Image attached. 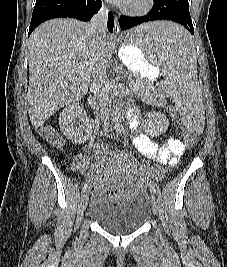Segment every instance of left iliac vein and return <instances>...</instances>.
Returning <instances> with one entry per match:
<instances>
[{
  "label": "left iliac vein",
  "instance_id": "obj_1",
  "mask_svg": "<svg viewBox=\"0 0 227 267\" xmlns=\"http://www.w3.org/2000/svg\"><path fill=\"white\" fill-rule=\"evenodd\" d=\"M151 201H152V210L155 214H157L159 210V202L157 201L154 195L151 196Z\"/></svg>",
  "mask_w": 227,
  "mask_h": 267
}]
</instances>
